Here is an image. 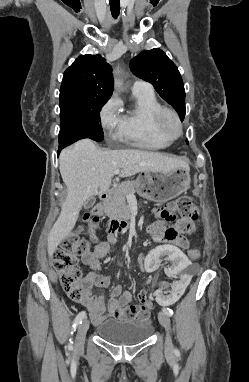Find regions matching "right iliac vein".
Segmentation results:
<instances>
[{"mask_svg":"<svg viewBox=\"0 0 249 382\" xmlns=\"http://www.w3.org/2000/svg\"><path fill=\"white\" fill-rule=\"evenodd\" d=\"M89 328V321L85 319L79 326L77 335H76V341H75V349L80 350L83 348L85 336L87 333V330Z\"/></svg>","mask_w":249,"mask_h":382,"instance_id":"obj_1","label":"right iliac vein"}]
</instances>
